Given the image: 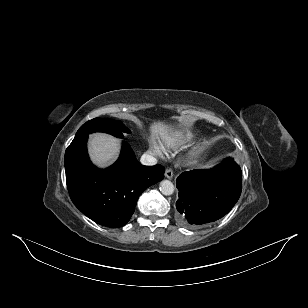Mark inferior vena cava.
Masks as SVG:
<instances>
[{
  "label": "inferior vena cava",
  "instance_id": "602c4592",
  "mask_svg": "<svg viewBox=\"0 0 308 308\" xmlns=\"http://www.w3.org/2000/svg\"><path fill=\"white\" fill-rule=\"evenodd\" d=\"M140 162L143 165L152 166V165H155L157 163V159L154 156H152L151 154L144 153L140 158Z\"/></svg>",
  "mask_w": 308,
  "mask_h": 308
}]
</instances>
